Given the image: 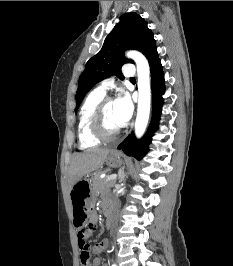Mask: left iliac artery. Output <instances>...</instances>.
Returning a JSON list of instances; mask_svg holds the SVG:
<instances>
[{
    "instance_id": "obj_1",
    "label": "left iliac artery",
    "mask_w": 233,
    "mask_h": 266,
    "mask_svg": "<svg viewBox=\"0 0 233 266\" xmlns=\"http://www.w3.org/2000/svg\"><path fill=\"white\" fill-rule=\"evenodd\" d=\"M112 266H117L116 264H112Z\"/></svg>"
}]
</instances>
